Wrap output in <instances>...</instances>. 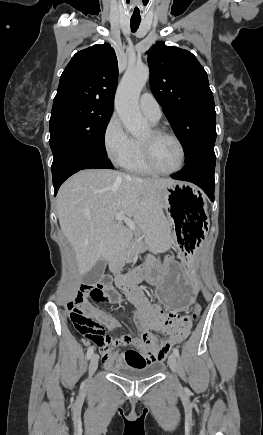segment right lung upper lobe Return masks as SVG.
Returning a JSON list of instances; mask_svg holds the SVG:
<instances>
[{
	"label": "right lung upper lobe",
	"mask_w": 263,
	"mask_h": 435,
	"mask_svg": "<svg viewBox=\"0 0 263 435\" xmlns=\"http://www.w3.org/2000/svg\"><path fill=\"white\" fill-rule=\"evenodd\" d=\"M118 63L107 43L77 52L64 69L53 106L96 103L114 108Z\"/></svg>",
	"instance_id": "obj_1"
}]
</instances>
